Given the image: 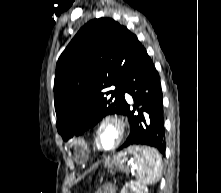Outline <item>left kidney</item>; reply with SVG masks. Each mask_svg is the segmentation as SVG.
Returning a JSON list of instances; mask_svg holds the SVG:
<instances>
[{
  "label": "left kidney",
  "instance_id": "1",
  "mask_svg": "<svg viewBox=\"0 0 221 193\" xmlns=\"http://www.w3.org/2000/svg\"><path fill=\"white\" fill-rule=\"evenodd\" d=\"M121 193H148V188L139 181H130L129 183L125 184L121 190Z\"/></svg>",
  "mask_w": 221,
  "mask_h": 193
}]
</instances>
